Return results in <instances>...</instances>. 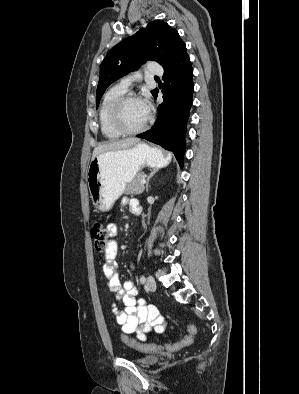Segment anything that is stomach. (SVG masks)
<instances>
[{"instance_id":"0dacf381","label":"stomach","mask_w":299,"mask_h":394,"mask_svg":"<svg viewBox=\"0 0 299 394\" xmlns=\"http://www.w3.org/2000/svg\"><path fill=\"white\" fill-rule=\"evenodd\" d=\"M170 161V156H164L159 149L145 143L99 154L91 160L87 170V184L94 208L109 210L144 166L161 168Z\"/></svg>"}]
</instances>
